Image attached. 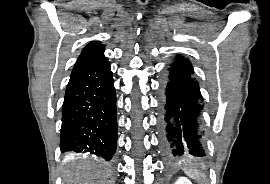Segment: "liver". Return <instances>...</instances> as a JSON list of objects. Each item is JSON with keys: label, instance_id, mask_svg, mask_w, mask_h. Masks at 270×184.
<instances>
[{"label": "liver", "instance_id": "obj_1", "mask_svg": "<svg viewBox=\"0 0 270 184\" xmlns=\"http://www.w3.org/2000/svg\"><path fill=\"white\" fill-rule=\"evenodd\" d=\"M111 172L104 164L82 165L65 171L63 184H111Z\"/></svg>", "mask_w": 270, "mask_h": 184}]
</instances>
